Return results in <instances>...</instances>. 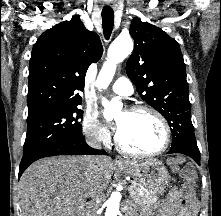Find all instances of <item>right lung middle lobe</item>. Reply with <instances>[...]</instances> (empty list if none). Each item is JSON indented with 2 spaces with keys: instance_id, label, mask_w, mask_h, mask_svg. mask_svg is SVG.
<instances>
[{
  "instance_id": "1",
  "label": "right lung middle lobe",
  "mask_w": 221,
  "mask_h": 216,
  "mask_svg": "<svg viewBox=\"0 0 221 216\" xmlns=\"http://www.w3.org/2000/svg\"><path fill=\"white\" fill-rule=\"evenodd\" d=\"M83 111L78 105L52 109L28 116L23 155L63 139L80 137Z\"/></svg>"
}]
</instances>
